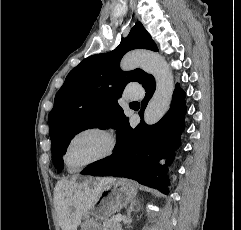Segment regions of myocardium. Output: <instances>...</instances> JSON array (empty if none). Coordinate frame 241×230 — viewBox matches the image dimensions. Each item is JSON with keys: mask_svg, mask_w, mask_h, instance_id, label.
Returning <instances> with one entry per match:
<instances>
[{"mask_svg": "<svg viewBox=\"0 0 241 230\" xmlns=\"http://www.w3.org/2000/svg\"><path fill=\"white\" fill-rule=\"evenodd\" d=\"M86 132H98V133H101L102 135H104L108 141V147L106 149V151L101 154L100 156L92 159V160H89L83 164H81L80 166L76 167V168H70L69 165H68V162H67V153H68V149H69V146L71 144V142L79 135L83 134V133H86ZM116 139L114 137V135L112 134V132L107 128L105 127L104 125H101V124H92V125H88V126H85L79 130H77L67 141L65 147H64V150H63V155H62V159H63V162H64V165L65 167L69 170V171H79L83 168H86L88 166H91L93 164H96L98 162H101V161H104L108 158H110L114 153H115V150H116Z\"/></svg>", "mask_w": 241, "mask_h": 230, "instance_id": "f54148a6", "label": "myocardium"}]
</instances>
